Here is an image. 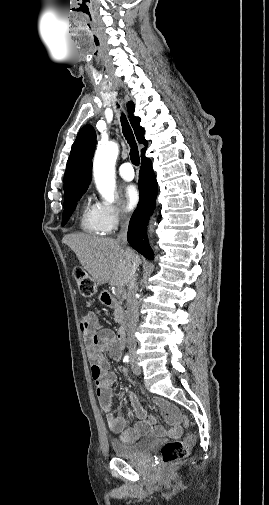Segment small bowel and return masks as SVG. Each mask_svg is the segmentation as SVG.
I'll return each mask as SVG.
<instances>
[{"label": "small bowel", "mask_w": 269, "mask_h": 505, "mask_svg": "<svg viewBox=\"0 0 269 505\" xmlns=\"http://www.w3.org/2000/svg\"><path fill=\"white\" fill-rule=\"evenodd\" d=\"M95 320L93 313L86 314L80 323L81 333L87 343V352L91 363V375L95 382L96 394L102 410L107 418L109 430L118 435L125 443H133L141 436L153 433L159 436L178 437L182 434V416L179 410L167 400L155 397L153 403L164 413L170 429L166 430L156 425L155 418L148 416L140 405L137 397L126 392L138 422L127 427L124 416L117 415L112 410V386L115 382V374L110 371V364L104 353H108L114 360L119 361L122 356V346L117 341L115 334L109 329L93 332L89 325Z\"/></svg>", "instance_id": "c3829d8e"}]
</instances>
